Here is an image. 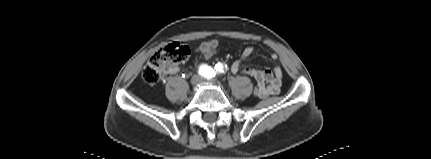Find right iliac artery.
Here are the masks:
<instances>
[{
    "label": "right iliac artery",
    "instance_id": "1",
    "mask_svg": "<svg viewBox=\"0 0 431 159\" xmlns=\"http://www.w3.org/2000/svg\"><path fill=\"white\" fill-rule=\"evenodd\" d=\"M213 69L208 65H201L199 68V74L205 78H210L212 76Z\"/></svg>",
    "mask_w": 431,
    "mask_h": 159
}]
</instances>
